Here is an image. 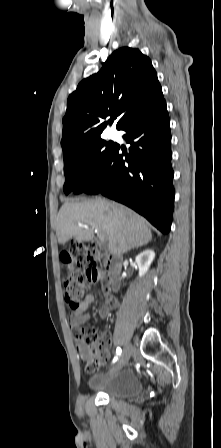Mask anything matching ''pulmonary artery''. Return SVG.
<instances>
[{
  "label": "pulmonary artery",
  "instance_id": "e3ab8cb5",
  "mask_svg": "<svg viewBox=\"0 0 221 448\" xmlns=\"http://www.w3.org/2000/svg\"><path fill=\"white\" fill-rule=\"evenodd\" d=\"M111 137L114 138L115 137V132H111Z\"/></svg>",
  "mask_w": 221,
  "mask_h": 448
}]
</instances>
